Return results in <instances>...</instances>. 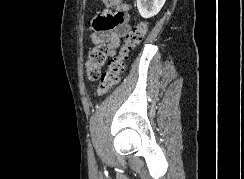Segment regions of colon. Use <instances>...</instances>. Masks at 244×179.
Wrapping results in <instances>:
<instances>
[{"label":"colon","instance_id":"1","mask_svg":"<svg viewBox=\"0 0 244 179\" xmlns=\"http://www.w3.org/2000/svg\"><path fill=\"white\" fill-rule=\"evenodd\" d=\"M119 2L120 0H103V3H109V6L113 9L116 8V3ZM116 14L121 15L123 12L117 11ZM147 28L148 27L145 22H140L131 28L126 36L122 49L118 55L112 59L107 71L102 75L101 68L105 63L108 54L107 46L99 43L91 50L85 65L86 73L88 79L91 81H95L100 78V83L97 88V92L99 94L111 91L119 83L131 50L142 43L147 32Z\"/></svg>","mask_w":244,"mask_h":179}]
</instances>
